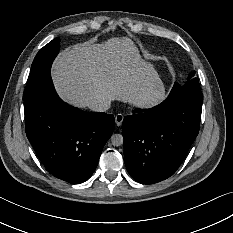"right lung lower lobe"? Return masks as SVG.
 Wrapping results in <instances>:
<instances>
[{
  "label": "right lung lower lobe",
  "instance_id": "98d812e1",
  "mask_svg": "<svg viewBox=\"0 0 233 233\" xmlns=\"http://www.w3.org/2000/svg\"><path fill=\"white\" fill-rule=\"evenodd\" d=\"M24 106L26 135L45 168L72 184L86 181L113 132L114 116L68 105L52 79L27 97Z\"/></svg>",
  "mask_w": 233,
  "mask_h": 233
}]
</instances>
